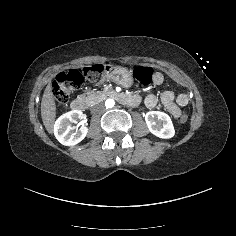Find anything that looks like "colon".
I'll return each mask as SVG.
<instances>
[{"mask_svg": "<svg viewBox=\"0 0 236 236\" xmlns=\"http://www.w3.org/2000/svg\"><path fill=\"white\" fill-rule=\"evenodd\" d=\"M101 71L102 66L97 64L59 73L53 82V94L58 106H64L73 92L85 81H96ZM134 76L141 84H150L153 81L154 72L149 67H137L134 70ZM179 119L180 122L185 123L188 115L184 112Z\"/></svg>", "mask_w": 236, "mask_h": 236, "instance_id": "5ec220e1", "label": "colon"}]
</instances>
